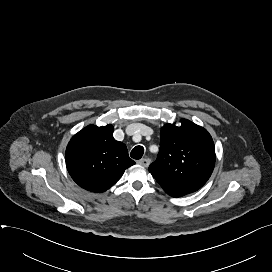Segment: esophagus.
<instances>
[{
    "label": "esophagus",
    "mask_w": 272,
    "mask_h": 272,
    "mask_svg": "<svg viewBox=\"0 0 272 272\" xmlns=\"http://www.w3.org/2000/svg\"><path fill=\"white\" fill-rule=\"evenodd\" d=\"M151 160L149 158H143L137 161V163L143 167H148L150 165Z\"/></svg>",
    "instance_id": "obj_1"
}]
</instances>
